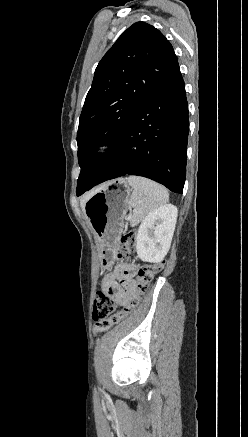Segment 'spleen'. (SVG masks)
Here are the masks:
<instances>
[{
  "instance_id": "obj_1",
  "label": "spleen",
  "mask_w": 248,
  "mask_h": 437,
  "mask_svg": "<svg viewBox=\"0 0 248 437\" xmlns=\"http://www.w3.org/2000/svg\"><path fill=\"white\" fill-rule=\"evenodd\" d=\"M127 182L133 188L129 201V221L132 227L138 225L149 213L163 206L169 200L167 190L152 180L139 176H129ZM132 208L133 211H131Z\"/></svg>"
}]
</instances>
